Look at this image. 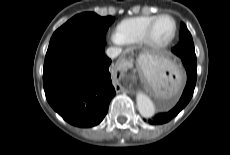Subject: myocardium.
I'll list each match as a JSON object with an SVG mask.
<instances>
[{
	"instance_id": "obj_1",
	"label": "myocardium",
	"mask_w": 230,
	"mask_h": 155,
	"mask_svg": "<svg viewBox=\"0 0 230 155\" xmlns=\"http://www.w3.org/2000/svg\"><path fill=\"white\" fill-rule=\"evenodd\" d=\"M163 18H169L173 22V31L170 35V37L162 42H158L153 38V30L155 28V25L157 22ZM177 34V23L176 20L169 14H160L155 17V19L148 25L144 36H143V43L148 46L149 48H152L154 50H161L164 48H167L171 43L174 41Z\"/></svg>"
}]
</instances>
